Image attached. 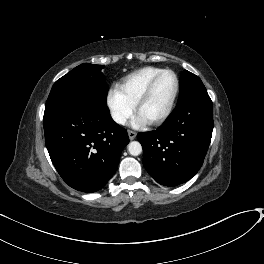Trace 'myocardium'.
Segmentation results:
<instances>
[{"instance_id": "f54148a6", "label": "myocardium", "mask_w": 264, "mask_h": 264, "mask_svg": "<svg viewBox=\"0 0 264 264\" xmlns=\"http://www.w3.org/2000/svg\"><path fill=\"white\" fill-rule=\"evenodd\" d=\"M166 73L171 74L174 77V79H175L174 91L172 93V96L170 98V101H169L166 109L164 110V112L162 114H160L158 117H156L155 119L150 120V121H147V123L150 124V125H158V124H161L171 114V112H172V110L174 108V105H175V102H176L178 93H179V79H178L177 74L174 71L170 70V69H164L161 72H159L157 75H155L150 80V82L148 83V85L146 86V88L144 89V91L142 92V94L140 95V97L138 98V100L135 103L136 112H138L139 109H140V107L148 100V98L152 94V91H153V89H154L157 81L159 80V78L163 74H166Z\"/></svg>"}]
</instances>
